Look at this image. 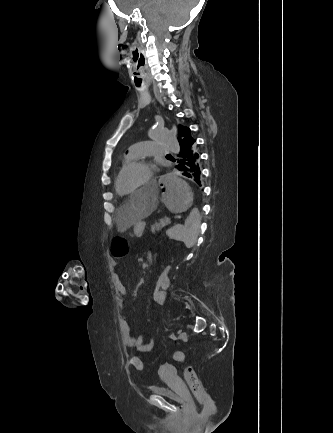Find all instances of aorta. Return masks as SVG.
<instances>
[{
	"instance_id": "obj_1",
	"label": "aorta",
	"mask_w": 333,
	"mask_h": 433,
	"mask_svg": "<svg viewBox=\"0 0 333 433\" xmlns=\"http://www.w3.org/2000/svg\"><path fill=\"white\" fill-rule=\"evenodd\" d=\"M148 137L157 143L166 144L170 151L179 154L180 146L178 140L164 127L156 126L148 132Z\"/></svg>"
}]
</instances>
